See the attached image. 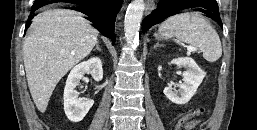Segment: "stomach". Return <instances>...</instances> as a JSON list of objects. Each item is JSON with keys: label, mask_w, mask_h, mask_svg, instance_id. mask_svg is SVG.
Segmentation results:
<instances>
[{"label": "stomach", "mask_w": 257, "mask_h": 130, "mask_svg": "<svg viewBox=\"0 0 257 130\" xmlns=\"http://www.w3.org/2000/svg\"><path fill=\"white\" fill-rule=\"evenodd\" d=\"M155 37H156L157 39L161 38L160 35H158V34H155Z\"/></svg>", "instance_id": "obj_1"}]
</instances>
